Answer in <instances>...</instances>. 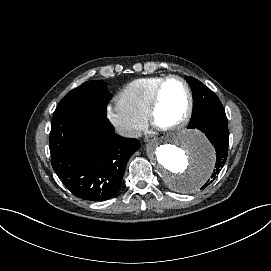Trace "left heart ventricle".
<instances>
[{"mask_svg": "<svg viewBox=\"0 0 271 271\" xmlns=\"http://www.w3.org/2000/svg\"><path fill=\"white\" fill-rule=\"evenodd\" d=\"M188 105L187 90L179 80L169 81L163 89L158 113L160 125H169L180 118Z\"/></svg>", "mask_w": 271, "mask_h": 271, "instance_id": "obj_1", "label": "left heart ventricle"}]
</instances>
